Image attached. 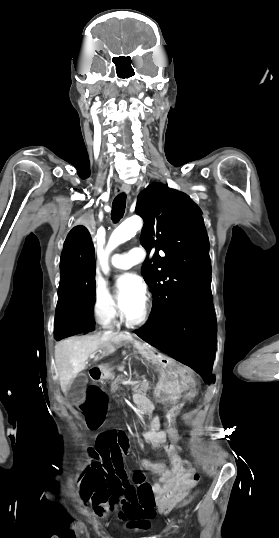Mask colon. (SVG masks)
Segmentation results:
<instances>
[{
  "instance_id": "5ec220e1",
  "label": "colon",
  "mask_w": 279,
  "mask_h": 538,
  "mask_svg": "<svg viewBox=\"0 0 279 538\" xmlns=\"http://www.w3.org/2000/svg\"><path fill=\"white\" fill-rule=\"evenodd\" d=\"M130 444L123 431L109 430L102 433L89 452L95 459L94 468L84 480V495L91 497L95 513L104 516L109 506L121 502L132 517L153 516L156 499L154 486L146 481L142 472L128 477L123 467V456ZM179 473L186 481L196 482L198 473L189 458L180 457ZM190 499L184 501L189 502ZM170 507L161 509L168 510Z\"/></svg>"
}]
</instances>
